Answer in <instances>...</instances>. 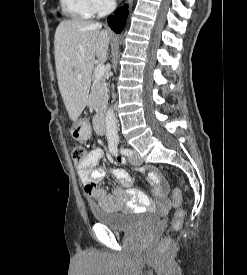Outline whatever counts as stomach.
Returning <instances> with one entry per match:
<instances>
[{
  "label": "stomach",
  "mask_w": 247,
  "mask_h": 275,
  "mask_svg": "<svg viewBox=\"0 0 247 275\" xmlns=\"http://www.w3.org/2000/svg\"><path fill=\"white\" fill-rule=\"evenodd\" d=\"M71 134L77 141H83L89 138L90 132L86 123L77 121L74 123Z\"/></svg>",
  "instance_id": "stomach-1"
}]
</instances>
